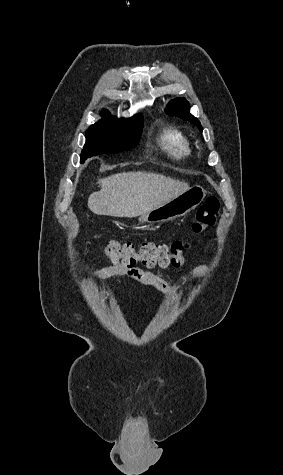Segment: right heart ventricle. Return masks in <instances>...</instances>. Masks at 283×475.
<instances>
[{
    "label": "right heart ventricle",
    "mask_w": 283,
    "mask_h": 475,
    "mask_svg": "<svg viewBox=\"0 0 283 475\" xmlns=\"http://www.w3.org/2000/svg\"><path fill=\"white\" fill-rule=\"evenodd\" d=\"M159 142L163 148L177 158H186L193 153L190 137L176 126L163 127L159 134Z\"/></svg>",
    "instance_id": "obj_1"
}]
</instances>
